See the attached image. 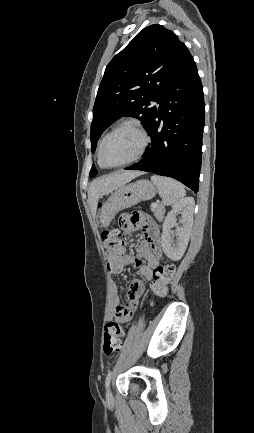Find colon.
<instances>
[{
    "label": "colon",
    "mask_w": 254,
    "mask_h": 433,
    "mask_svg": "<svg viewBox=\"0 0 254 433\" xmlns=\"http://www.w3.org/2000/svg\"><path fill=\"white\" fill-rule=\"evenodd\" d=\"M128 221L131 225H137L143 223L145 218L140 212L133 211L128 215ZM119 223L121 225L120 219ZM103 245L108 265L111 268L117 267L124 256V240L119 236V232L115 229L104 231ZM174 274L175 266L172 264H166L157 268L155 271V281L157 283L156 295L163 296L165 294L164 286L173 279ZM123 338V327L115 320L108 321L104 327V353L111 355L119 351Z\"/></svg>",
    "instance_id": "5ec220e1"
}]
</instances>
